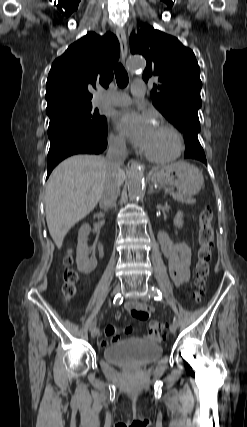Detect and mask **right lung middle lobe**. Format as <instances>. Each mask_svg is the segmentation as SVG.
<instances>
[{
	"label": "right lung middle lobe",
	"mask_w": 247,
	"mask_h": 427,
	"mask_svg": "<svg viewBox=\"0 0 247 427\" xmlns=\"http://www.w3.org/2000/svg\"><path fill=\"white\" fill-rule=\"evenodd\" d=\"M50 120L52 119H67L80 123L91 130L106 134L107 121L104 116L98 114V111H92V105L82 106H67L63 107L53 113L48 114Z\"/></svg>",
	"instance_id": "right-lung-middle-lobe-1"
}]
</instances>
